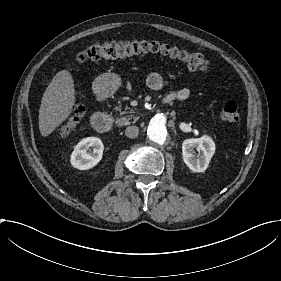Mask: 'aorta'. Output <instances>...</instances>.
I'll use <instances>...</instances> for the list:
<instances>
[{
	"label": "aorta",
	"mask_w": 281,
	"mask_h": 281,
	"mask_svg": "<svg viewBox=\"0 0 281 281\" xmlns=\"http://www.w3.org/2000/svg\"><path fill=\"white\" fill-rule=\"evenodd\" d=\"M149 139L159 145H163L168 139V128L166 125V116L158 114L151 120L148 131Z\"/></svg>",
	"instance_id": "aorta-1"
}]
</instances>
